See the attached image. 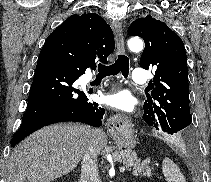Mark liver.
<instances>
[{
    "label": "liver",
    "mask_w": 211,
    "mask_h": 182,
    "mask_svg": "<svg viewBox=\"0 0 211 182\" xmlns=\"http://www.w3.org/2000/svg\"><path fill=\"white\" fill-rule=\"evenodd\" d=\"M91 137L99 154L107 145V136L101 129L69 123L36 131L11 153L7 182H51L70 173L80 162Z\"/></svg>",
    "instance_id": "liver-1"
}]
</instances>
